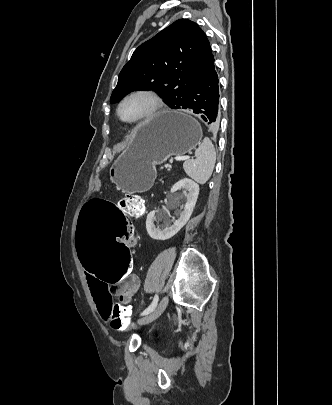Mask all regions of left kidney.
<instances>
[{"label": "left kidney", "instance_id": "5707ae66", "mask_svg": "<svg viewBox=\"0 0 332 405\" xmlns=\"http://www.w3.org/2000/svg\"><path fill=\"white\" fill-rule=\"evenodd\" d=\"M177 190L183 191V194L186 196L187 201L184 204V209L181 212L179 219L175 220L172 226L170 225V222L168 220H166L165 223L166 227L162 230L154 225V221L156 218L162 219L164 217L163 213L159 211L154 210L147 215L146 229L149 236L154 240H167L173 237L188 222L192 215L199 194L198 184L187 178H184L182 180H179L172 186L171 193H174Z\"/></svg>", "mask_w": 332, "mask_h": 405}]
</instances>
